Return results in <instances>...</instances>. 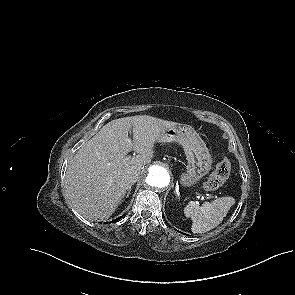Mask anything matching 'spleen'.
<instances>
[{"label":"spleen","mask_w":295,"mask_h":295,"mask_svg":"<svg viewBox=\"0 0 295 295\" xmlns=\"http://www.w3.org/2000/svg\"><path fill=\"white\" fill-rule=\"evenodd\" d=\"M234 203L235 199L231 196L204 202L201 206L190 202L184 208V215L186 218H191L193 233H204L218 226Z\"/></svg>","instance_id":"obj_1"}]
</instances>
